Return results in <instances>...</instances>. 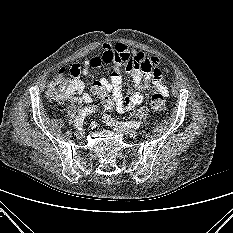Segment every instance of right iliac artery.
Listing matches in <instances>:
<instances>
[{"mask_svg":"<svg viewBox=\"0 0 233 233\" xmlns=\"http://www.w3.org/2000/svg\"><path fill=\"white\" fill-rule=\"evenodd\" d=\"M97 109V107H87L85 109H83L77 116V118L75 119V128L80 130L82 129V126H83V122H84V119H85V116L92 113V112H95Z\"/></svg>","mask_w":233,"mask_h":233,"instance_id":"right-iliac-artery-1","label":"right iliac artery"}]
</instances>
